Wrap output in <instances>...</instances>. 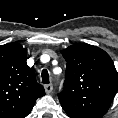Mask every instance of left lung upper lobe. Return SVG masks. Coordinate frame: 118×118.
<instances>
[{"mask_svg":"<svg viewBox=\"0 0 118 118\" xmlns=\"http://www.w3.org/2000/svg\"><path fill=\"white\" fill-rule=\"evenodd\" d=\"M65 58L64 88L59 101L70 118H101L118 90V73L99 47L75 44L61 51Z\"/></svg>","mask_w":118,"mask_h":118,"instance_id":"1","label":"left lung upper lobe"}]
</instances>
